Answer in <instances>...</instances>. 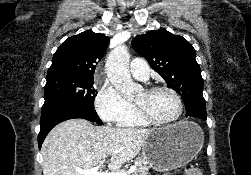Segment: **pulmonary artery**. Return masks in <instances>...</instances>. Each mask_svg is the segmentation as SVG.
Listing matches in <instances>:
<instances>
[{
  "mask_svg": "<svg viewBox=\"0 0 251 175\" xmlns=\"http://www.w3.org/2000/svg\"><path fill=\"white\" fill-rule=\"evenodd\" d=\"M130 72L136 79L147 80L149 78L148 62H145L144 58H136L135 62L130 63Z\"/></svg>",
  "mask_w": 251,
  "mask_h": 175,
  "instance_id": "obj_1",
  "label": "pulmonary artery"
}]
</instances>
